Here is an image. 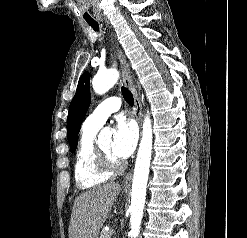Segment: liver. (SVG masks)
<instances>
[{"label": "liver", "mask_w": 247, "mask_h": 238, "mask_svg": "<svg viewBox=\"0 0 247 238\" xmlns=\"http://www.w3.org/2000/svg\"><path fill=\"white\" fill-rule=\"evenodd\" d=\"M120 189L112 182L81 193L74 201L69 238H98Z\"/></svg>", "instance_id": "liver-1"}]
</instances>
